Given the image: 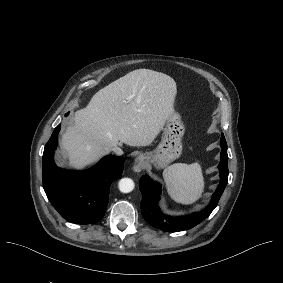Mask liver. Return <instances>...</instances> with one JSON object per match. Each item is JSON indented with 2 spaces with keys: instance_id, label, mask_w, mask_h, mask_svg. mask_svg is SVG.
<instances>
[{
  "instance_id": "1",
  "label": "liver",
  "mask_w": 283,
  "mask_h": 283,
  "mask_svg": "<svg viewBox=\"0 0 283 283\" xmlns=\"http://www.w3.org/2000/svg\"><path fill=\"white\" fill-rule=\"evenodd\" d=\"M175 90L172 77L151 69H136L109 83L75 111L73 123L61 135L67 159L58 160V165L83 170L114 147L150 143L171 111Z\"/></svg>"
}]
</instances>
